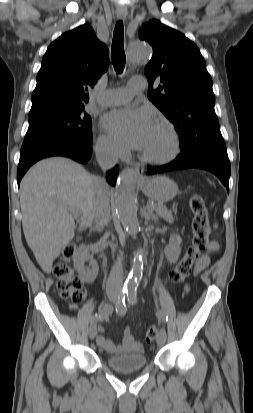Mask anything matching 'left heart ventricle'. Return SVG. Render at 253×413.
Returning a JSON list of instances; mask_svg holds the SVG:
<instances>
[{"mask_svg":"<svg viewBox=\"0 0 253 413\" xmlns=\"http://www.w3.org/2000/svg\"><path fill=\"white\" fill-rule=\"evenodd\" d=\"M142 150L155 156L167 154L170 150V139L167 132L161 126L153 124Z\"/></svg>","mask_w":253,"mask_h":413,"instance_id":"obj_1","label":"left heart ventricle"}]
</instances>
